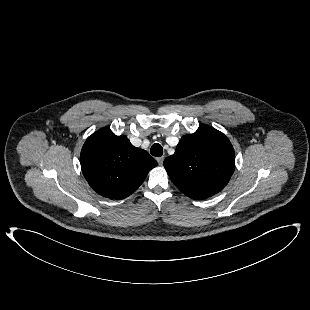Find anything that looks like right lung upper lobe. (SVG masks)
<instances>
[{
	"instance_id": "1",
	"label": "right lung upper lobe",
	"mask_w": 310,
	"mask_h": 310,
	"mask_svg": "<svg viewBox=\"0 0 310 310\" xmlns=\"http://www.w3.org/2000/svg\"><path fill=\"white\" fill-rule=\"evenodd\" d=\"M80 164L84 177L98 194L123 199L139 188L157 162L147 151L134 147L126 136L102 128L84 143Z\"/></svg>"
}]
</instances>
